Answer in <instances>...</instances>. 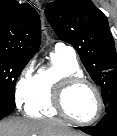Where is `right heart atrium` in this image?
I'll return each instance as SVG.
<instances>
[{
    "label": "right heart atrium",
    "mask_w": 117,
    "mask_h": 136,
    "mask_svg": "<svg viewBox=\"0 0 117 136\" xmlns=\"http://www.w3.org/2000/svg\"><path fill=\"white\" fill-rule=\"evenodd\" d=\"M36 74L34 60H31L20 72L14 84V102L18 108L25 105L34 93Z\"/></svg>",
    "instance_id": "1"
}]
</instances>
